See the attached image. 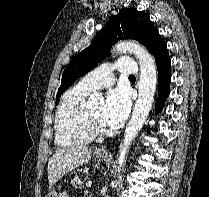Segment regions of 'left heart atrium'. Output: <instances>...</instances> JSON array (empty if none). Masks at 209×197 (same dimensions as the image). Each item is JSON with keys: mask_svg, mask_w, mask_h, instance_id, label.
<instances>
[{"mask_svg": "<svg viewBox=\"0 0 209 197\" xmlns=\"http://www.w3.org/2000/svg\"><path fill=\"white\" fill-rule=\"evenodd\" d=\"M131 107L129 92L124 87H116L108 91L102 111L101 120L108 127H118L127 118Z\"/></svg>", "mask_w": 209, "mask_h": 197, "instance_id": "obj_1", "label": "left heart atrium"}]
</instances>
